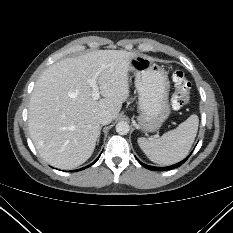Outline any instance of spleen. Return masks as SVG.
<instances>
[{
    "label": "spleen",
    "instance_id": "3e777b00",
    "mask_svg": "<svg viewBox=\"0 0 233 233\" xmlns=\"http://www.w3.org/2000/svg\"><path fill=\"white\" fill-rule=\"evenodd\" d=\"M199 125L196 114L191 115L176 129L168 131L158 139L141 137L138 144L154 163L171 165L184 159L195 140Z\"/></svg>",
    "mask_w": 233,
    "mask_h": 233
}]
</instances>
